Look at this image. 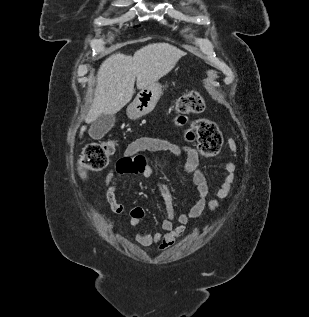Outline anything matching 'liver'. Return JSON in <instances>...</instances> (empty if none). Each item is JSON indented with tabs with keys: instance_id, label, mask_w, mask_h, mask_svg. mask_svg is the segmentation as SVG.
Segmentation results:
<instances>
[{
	"instance_id": "obj_1",
	"label": "liver",
	"mask_w": 309,
	"mask_h": 317,
	"mask_svg": "<svg viewBox=\"0 0 309 317\" xmlns=\"http://www.w3.org/2000/svg\"><path fill=\"white\" fill-rule=\"evenodd\" d=\"M185 55L168 43H153L133 56L116 53L108 57L98 70L94 99L85 122L91 123L101 114H116L132 99L135 80L138 89L152 86ZM85 130L82 126L80 137Z\"/></svg>"
}]
</instances>
